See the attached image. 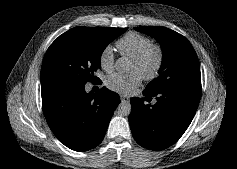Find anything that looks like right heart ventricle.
I'll return each mask as SVG.
<instances>
[{"instance_id":"obj_1","label":"right heart ventricle","mask_w":237,"mask_h":169,"mask_svg":"<svg viewBox=\"0 0 237 169\" xmlns=\"http://www.w3.org/2000/svg\"><path fill=\"white\" fill-rule=\"evenodd\" d=\"M152 44V40L140 33L130 32L120 38L116 45L121 53L128 56H135Z\"/></svg>"}]
</instances>
